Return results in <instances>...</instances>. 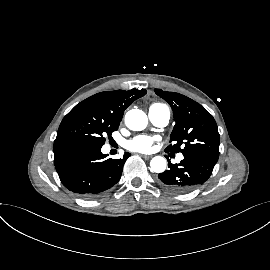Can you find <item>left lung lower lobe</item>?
Returning a JSON list of instances; mask_svg holds the SVG:
<instances>
[{
    "label": "left lung lower lobe",
    "instance_id": "left-lung-lower-lobe-1",
    "mask_svg": "<svg viewBox=\"0 0 270 270\" xmlns=\"http://www.w3.org/2000/svg\"><path fill=\"white\" fill-rule=\"evenodd\" d=\"M179 164L168 160L169 169L158 175L160 184L176 193L194 190L208 180L217 161L210 158L188 153Z\"/></svg>",
    "mask_w": 270,
    "mask_h": 270
}]
</instances>
